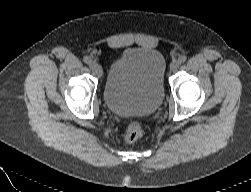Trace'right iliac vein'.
Masks as SVG:
<instances>
[{
	"mask_svg": "<svg viewBox=\"0 0 251 192\" xmlns=\"http://www.w3.org/2000/svg\"><path fill=\"white\" fill-rule=\"evenodd\" d=\"M89 66H90L91 70L93 71V73L96 76H98V77L102 76V69H101L100 65L96 61H91Z\"/></svg>",
	"mask_w": 251,
	"mask_h": 192,
	"instance_id": "obj_1",
	"label": "right iliac vein"
}]
</instances>
